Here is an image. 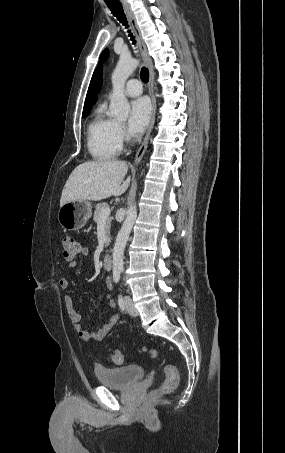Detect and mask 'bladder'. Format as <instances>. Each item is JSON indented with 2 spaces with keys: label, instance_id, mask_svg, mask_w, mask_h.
Wrapping results in <instances>:
<instances>
[{
  "label": "bladder",
  "instance_id": "1",
  "mask_svg": "<svg viewBox=\"0 0 285 453\" xmlns=\"http://www.w3.org/2000/svg\"><path fill=\"white\" fill-rule=\"evenodd\" d=\"M93 372L99 384L120 389L129 388L145 375L144 368L136 364L115 368H108L96 364L94 365Z\"/></svg>",
  "mask_w": 285,
  "mask_h": 453
}]
</instances>
